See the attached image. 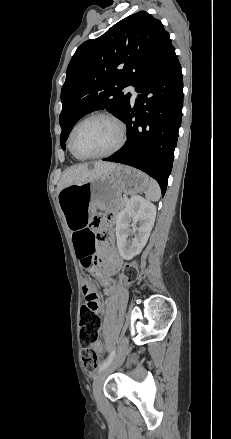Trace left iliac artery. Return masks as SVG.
Here are the masks:
<instances>
[{"instance_id": "left-iliac-artery-1", "label": "left iliac artery", "mask_w": 231, "mask_h": 439, "mask_svg": "<svg viewBox=\"0 0 231 439\" xmlns=\"http://www.w3.org/2000/svg\"><path fill=\"white\" fill-rule=\"evenodd\" d=\"M114 356H115V349L112 350L108 358L100 365L99 371L105 369L112 362Z\"/></svg>"}]
</instances>
